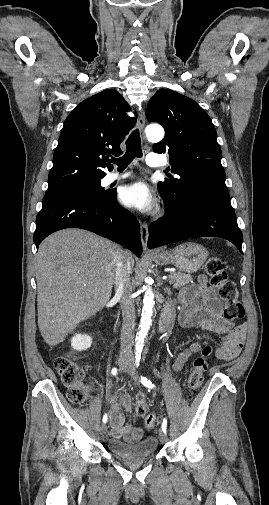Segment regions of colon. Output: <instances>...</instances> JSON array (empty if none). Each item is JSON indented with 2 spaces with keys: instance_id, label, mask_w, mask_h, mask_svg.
I'll return each mask as SVG.
<instances>
[{
  "instance_id": "colon-1",
  "label": "colon",
  "mask_w": 269,
  "mask_h": 505,
  "mask_svg": "<svg viewBox=\"0 0 269 505\" xmlns=\"http://www.w3.org/2000/svg\"><path fill=\"white\" fill-rule=\"evenodd\" d=\"M205 272L210 279V283L218 290L220 299L225 303L224 317L228 321H235L244 317V307L238 299V291L235 283L229 279L224 263L218 257L212 256L205 263ZM212 352L207 346L202 350L194 362L188 377V391L191 398L196 394L203 383L204 372L207 369V358ZM54 367L60 375L63 384L68 387L67 398L75 405H82L87 399V390L83 383V369L72 359L69 354L57 357ZM139 416L146 414L145 399L142 394L137 396L135 407ZM159 420L150 414L145 418V425L148 429L154 428Z\"/></svg>"
}]
</instances>
